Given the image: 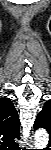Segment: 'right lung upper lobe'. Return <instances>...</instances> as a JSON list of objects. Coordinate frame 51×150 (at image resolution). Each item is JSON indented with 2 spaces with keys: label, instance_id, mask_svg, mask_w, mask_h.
<instances>
[{
  "label": "right lung upper lobe",
  "instance_id": "right-lung-upper-lobe-1",
  "mask_svg": "<svg viewBox=\"0 0 51 150\" xmlns=\"http://www.w3.org/2000/svg\"><path fill=\"white\" fill-rule=\"evenodd\" d=\"M20 122L13 103L8 98H0V144L4 150L18 149L14 139H20Z\"/></svg>",
  "mask_w": 51,
  "mask_h": 150
}]
</instances>
